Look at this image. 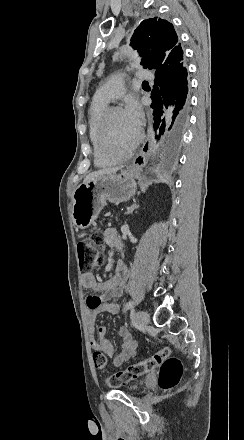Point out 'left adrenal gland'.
Instances as JSON below:
<instances>
[{
    "label": "left adrenal gland",
    "instance_id": "left-adrenal-gland-1",
    "mask_svg": "<svg viewBox=\"0 0 244 440\" xmlns=\"http://www.w3.org/2000/svg\"><path fill=\"white\" fill-rule=\"evenodd\" d=\"M137 208H139V206H137V204L135 202V204H133V206H131V208H129L127 214H132L133 210H137Z\"/></svg>",
    "mask_w": 244,
    "mask_h": 440
}]
</instances>
